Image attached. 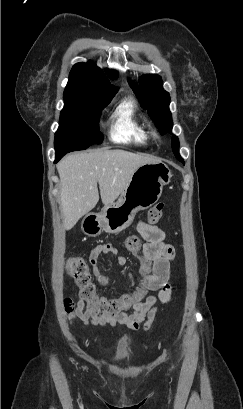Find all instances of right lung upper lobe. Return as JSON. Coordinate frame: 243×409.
I'll list each match as a JSON object with an SVG mask.
<instances>
[{
    "instance_id": "obj_1",
    "label": "right lung upper lobe",
    "mask_w": 243,
    "mask_h": 409,
    "mask_svg": "<svg viewBox=\"0 0 243 409\" xmlns=\"http://www.w3.org/2000/svg\"><path fill=\"white\" fill-rule=\"evenodd\" d=\"M105 73L111 79L118 77V73L110 69H105ZM105 73L91 61L75 64L64 90V99L101 100L113 97L119 88L110 84Z\"/></svg>"
}]
</instances>
